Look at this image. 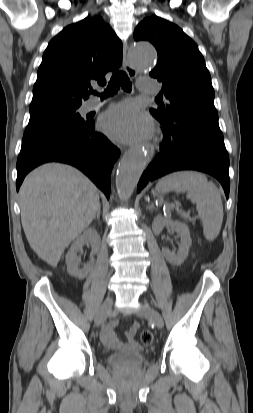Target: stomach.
Masks as SVG:
<instances>
[{"mask_svg":"<svg viewBox=\"0 0 253 413\" xmlns=\"http://www.w3.org/2000/svg\"><path fill=\"white\" fill-rule=\"evenodd\" d=\"M158 192H160V191H157V190H156L154 193L157 194Z\"/></svg>","mask_w":253,"mask_h":413,"instance_id":"stomach-1","label":"stomach"}]
</instances>
